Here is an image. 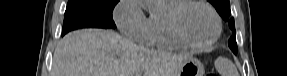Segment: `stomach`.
Here are the masks:
<instances>
[{
	"label": "stomach",
	"instance_id": "obj_1",
	"mask_svg": "<svg viewBox=\"0 0 287 76\" xmlns=\"http://www.w3.org/2000/svg\"><path fill=\"white\" fill-rule=\"evenodd\" d=\"M204 66L194 57H189L182 65L178 76H203Z\"/></svg>",
	"mask_w": 287,
	"mask_h": 76
}]
</instances>
